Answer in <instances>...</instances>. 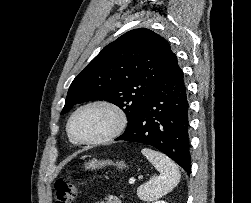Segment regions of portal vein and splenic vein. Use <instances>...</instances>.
I'll use <instances>...</instances> for the list:
<instances>
[{"instance_id":"1","label":"portal vein and splenic vein","mask_w":251,"mask_h":203,"mask_svg":"<svg viewBox=\"0 0 251 203\" xmlns=\"http://www.w3.org/2000/svg\"><path fill=\"white\" fill-rule=\"evenodd\" d=\"M134 182H135V179H134V178H131V179L129 180V183H130V184H134Z\"/></svg>"}]
</instances>
